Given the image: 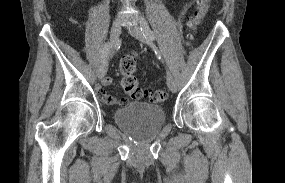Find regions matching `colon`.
Listing matches in <instances>:
<instances>
[{"label":"colon","instance_id":"obj_1","mask_svg":"<svg viewBox=\"0 0 285 183\" xmlns=\"http://www.w3.org/2000/svg\"><path fill=\"white\" fill-rule=\"evenodd\" d=\"M210 0H197V6L188 16V26L191 31H195L207 13ZM193 39V34L189 35ZM120 74L122 76L121 85L126 94L132 99H148L153 103H160L167 99V93L163 90H147L142 88L136 78L137 63L133 56H125L120 62ZM125 99H113L114 104H124Z\"/></svg>","mask_w":285,"mask_h":183}]
</instances>
